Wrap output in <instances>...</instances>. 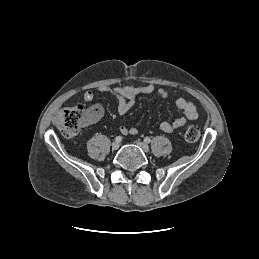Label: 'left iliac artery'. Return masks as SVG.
Masks as SVG:
<instances>
[{
	"label": "left iliac artery",
	"mask_w": 259,
	"mask_h": 259,
	"mask_svg": "<svg viewBox=\"0 0 259 259\" xmlns=\"http://www.w3.org/2000/svg\"><path fill=\"white\" fill-rule=\"evenodd\" d=\"M144 142H145V143H150V142H151V139H150L149 137H146V138H144Z\"/></svg>",
	"instance_id": "left-iliac-artery-1"
}]
</instances>
